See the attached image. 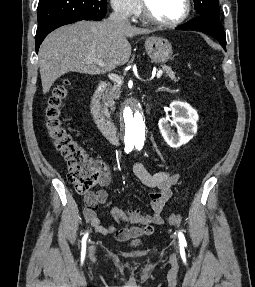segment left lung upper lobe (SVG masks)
<instances>
[{
    "label": "left lung upper lobe",
    "mask_w": 255,
    "mask_h": 287,
    "mask_svg": "<svg viewBox=\"0 0 255 287\" xmlns=\"http://www.w3.org/2000/svg\"><path fill=\"white\" fill-rule=\"evenodd\" d=\"M196 12L216 19L220 18L218 0H194Z\"/></svg>",
    "instance_id": "obj_1"
}]
</instances>
